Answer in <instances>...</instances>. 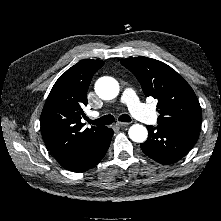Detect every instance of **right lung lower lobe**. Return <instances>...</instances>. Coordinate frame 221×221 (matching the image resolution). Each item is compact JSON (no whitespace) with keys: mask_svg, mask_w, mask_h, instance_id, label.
Instances as JSON below:
<instances>
[{"mask_svg":"<svg viewBox=\"0 0 221 221\" xmlns=\"http://www.w3.org/2000/svg\"><path fill=\"white\" fill-rule=\"evenodd\" d=\"M112 136L113 130L105 127L91 143L74 155L59 162L60 165L72 172H83L91 169L105 156Z\"/></svg>","mask_w":221,"mask_h":221,"instance_id":"right-lung-lower-lobe-1","label":"right lung lower lobe"}]
</instances>
